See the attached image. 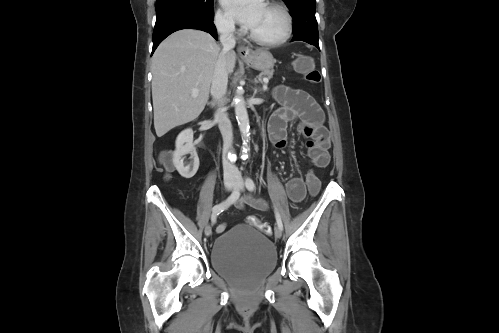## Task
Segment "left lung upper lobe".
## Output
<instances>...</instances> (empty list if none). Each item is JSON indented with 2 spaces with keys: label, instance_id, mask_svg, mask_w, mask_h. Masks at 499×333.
<instances>
[{
  "label": "left lung upper lobe",
  "instance_id": "1",
  "mask_svg": "<svg viewBox=\"0 0 499 333\" xmlns=\"http://www.w3.org/2000/svg\"><path fill=\"white\" fill-rule=\"evenodd\" d=\"M289 10L291 11L292 17L301 14H315V0H283Z\"/></svg>",
  "mask_w": 499,
  "mask_h": 333
}]
</instances>
